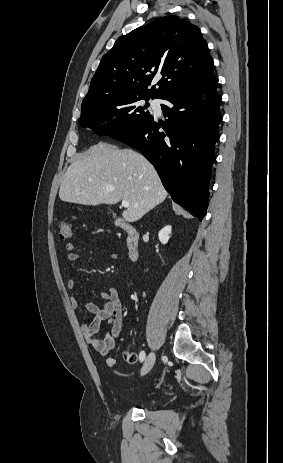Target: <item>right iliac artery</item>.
Segmentation results:
<instances>
[{
	"label": "right iliac artery",
	"mask_w": 283,
	"mask_h": 463,
	"mask_svg": "<svg viewBox=\"0 0 283 463\" xmlns=\"http://www.w3.org/2000/svg\"><path fill=\"white\" fill-rule=\"evenodd\" d=\"M139 359H140V362L144 361V359H145V352L144 351L140 352Z\"/></svg>",
	"instance_id": "82829eb1"
}]
</instances>
